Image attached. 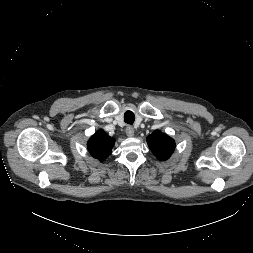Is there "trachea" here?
<instances>
[{"label": "trachea", "instance_id": "obj_1", "mask_svg": "<svg viewBox=\"0 0 253 253\" xmlns=\"http://www.w3.org/2000/svg\"><path fill=\"white\" fill-rule=\"evenodd\" d=\"M124 121L127 124L132 125L135 121V115L132 111H126L124 114Z\"/></svg>", "mask_w": 253, "mask_h": 253}]
</instances>
